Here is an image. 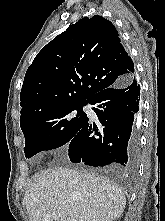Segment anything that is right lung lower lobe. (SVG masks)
<instances>
[{
  "label": "right lung lower lobe",
  "mask_w": 165,
  "mask_h": 221,
  "mask_svg": "<svg viewBox=\"0 0 165 221\" xmlns=\"http://www.w3.org/2000/svg\"><path fill=\"white\" fill-rule=\"evenodd\" d=\"M139 100L140 85L135 76L95 94L88 103L95 105L99 122L90 123L88 118L70 140V160L95 167L117 163L134 170L140 154Z\"/></svg>",
  "instance_id": "1"
}]
</instances>
